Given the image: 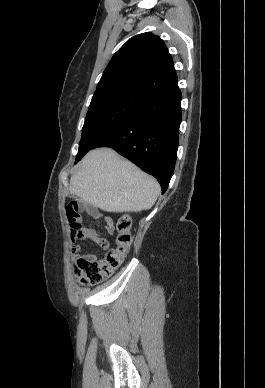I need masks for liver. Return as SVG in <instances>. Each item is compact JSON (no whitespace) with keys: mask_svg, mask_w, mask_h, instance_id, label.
Returning a JSON list of instances; mask_svg holds the SVG:
<instances>
[{"mask_svg":"<svg viewBox=\"0 0 265 388\" xmlns=\"http://www.w3.org/2000/svg\"><path fill=\"white\" fill-rule=\"evenodd\" d=\"M69 192L105 212H142L154 206L161 188L114 150L97 148L84 156L71 176Z\"/></svg>","mask_w":265,"mask_h":388,"instance_id":"liver-1","label":"liver"}]
</instances>
